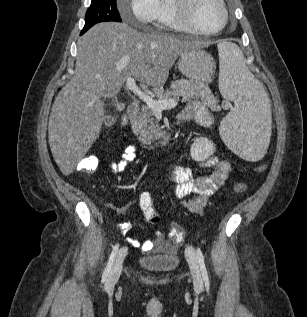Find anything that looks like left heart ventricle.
<instances>
[{"label": "left heart ventricle", "mask_w": 307, "mask_h": 317, "mask_svg": "<svg viewBox=\"0 0 307 317\" xmlns=\"http://www.w3.org/2000/svg\"><path fill=\"white\" fill-rule=\"evenodd\" d=\"M192 18L199 29L212 31L221 25L223 13L217 0H196Z\"/></svg>", "instance_id": "1"}]
</instances>
